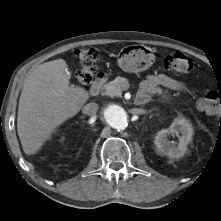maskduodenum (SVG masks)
Returning a JSON list of instances; mask_svg holds the SVG:
<instances>
[{
  "label": "duodenum",
  "instance_id": "obj_1",
  "mask_svg": "<svg viewBox=\"0 0 221 221\" xmlns=\"http://www.w3.org/2000/svg\"><path fill=\"white\" fill-rule=\"evenodd\" d=\"M105 80H106L105 74L103 72H99L94 82L91 84V87H90L91 95L96 96L99 94ZM136 102L139 105H144L148 102V97L144 94H139L136 98Z\"/></svg>",
  "mask_w": 221,
  "mask_h": 221
}]
</instances>
